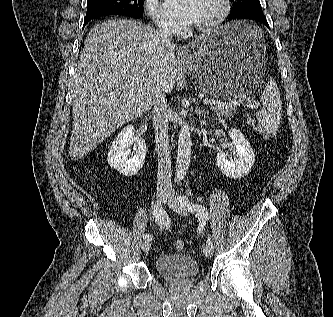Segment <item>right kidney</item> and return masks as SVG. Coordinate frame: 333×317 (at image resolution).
Listing matches in <instances>:
<instances>
[{
	"mask_svg": "<svg viewBox=\"0 0 333 317\" xmlns=\"http://www.w3.org/2000/svg\"><path fill=\"white\" fill-rule=\"evenodd\" d=\"M133 145L131 152L130 146ZM147 147L145 141L135 135V128L128 125L114 139L108 152V164L124 176L137 174L144 165Z\"/></svg>",
	"mask_w": 333,
	"mask_h": 317,
	"instance_id": "right-kidney-1",
	"label": "right kidney"
}]
</instances>
